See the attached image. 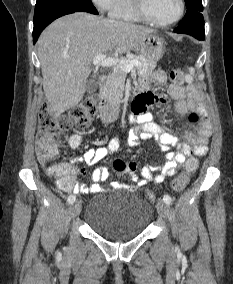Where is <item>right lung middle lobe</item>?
Returning <instances> with one entry per match:
<instances>
[{
  "instance_id": "obj_1",
  "label": "right lung middle lobe",
  "mask_w": 233,
  "mask_h": 284,
  "mask_svg": "<svg viewBox=\"0 0 233 284\" xmlns=\"http://www.w3.org/2000/svg\"><path fill=\"white\" fill-rule=\"evenodd\" d=\"M64 11H85L97 14L91 0H37L35 5L34 22L42 18Z\"/></svg>"
}]
</instances>
